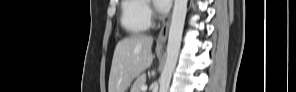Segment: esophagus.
Wrapping results in <instances>:
<instances>
[{
    "instance_id": "obj_1",
    "label": "esophagus",
    "mask_w": 296,
    "mask_h": 92,
    "mask_svg": "<svg viewBox=\"0 0 296 92\" xmlns=\"http://www.w3.org/2000/svg\"><path fill=\"white\" fill-rule=\"evenodd\" d=\"M170 20H171V17H169L168 20L163 24V26L159 32L158 38H157L158 44H162V43L166 42L167 36H168V30H169V26H170Z\"/></svg>"
}]
</instances>
